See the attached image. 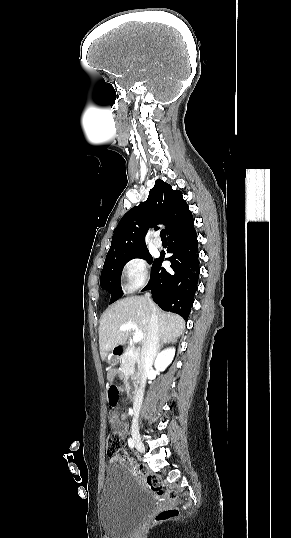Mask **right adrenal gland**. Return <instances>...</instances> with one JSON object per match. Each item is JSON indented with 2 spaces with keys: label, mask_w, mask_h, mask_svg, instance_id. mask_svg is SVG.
Here are the masks:
<instances>
[{
  "label": "right adrenal gland",
  "mask_w": 291,
  "mask_h": 538,
  "mask_svg": "<svg viewBox=\"0 0 291 538\" xmlns=\"http://www.w3.org/2000/svg\"><path fill=\"white\" fill-rule=\"evenodd\" d=\"M175 342H176V340H171V341H169V342H161L160 345H159V347H158V351L161 349V347L163 346L164 343H168V344H169V343H175Z\"/></svg>",
  "instance_id": "right-adrenal-gland-1"
}]
</instances>
